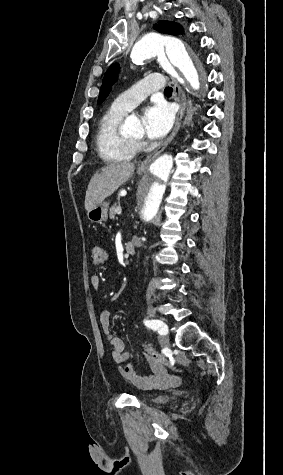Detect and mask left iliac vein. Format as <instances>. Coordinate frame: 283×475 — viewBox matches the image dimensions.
<instances>
[{
	"label": "left iliac vein",
	"mask_w": 283,
	"mask_h": 475,
	"mask_svg": "<svg viewBox=\"0 0 283 475\" xmlns=\"http://www.w3.org/2000/svg\"><path fill=\"white\" fill-rule=\"evenodd\" d=\"M165 329H166V332H168V326H167L166 324H165ZM158 340H159V343H160L162 346L170 347L169 340H168V338L165 336V334H161V335L158 337Z\"/></svg>",
	"instance_id": "1"
}]
</instances>
